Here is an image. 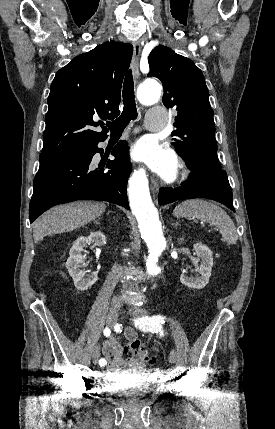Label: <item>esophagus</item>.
I'll use <instances>...</instances> for the list:
<instances>
[{
  "mask_svg": "<svg viewBox=\"0 0 275 429\" xmlns=\"http://www.w3.org/2000/svg\"><path fill=\"white\" fill-rule=\"evenodd\" d=\"M133 48H134V52H133V59H132L131 68L133 71L134 78L137 79L140 75L139 58H140V53H141V46H140L139 42H134ZM158 190H159L158 181L156 178L152 177L151 178V191L154 193V192H157Z\"/></svg>",
  "mask_w": 275,
  "mask_h": 429,
  "instance_id": "esophagus-1",
  "label": "esophagus"
}]
</instances>
